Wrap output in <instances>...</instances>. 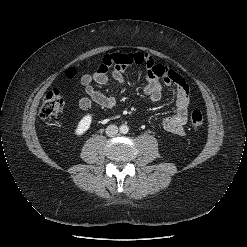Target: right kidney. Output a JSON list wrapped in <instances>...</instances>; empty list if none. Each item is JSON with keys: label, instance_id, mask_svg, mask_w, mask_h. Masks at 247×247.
Returning a JSON list of instances; mask_svg holds the SVG:
<instances>
[{"label": "right kidney", "instance_id": "1", "mask_svg": "<svg viewBox=\"0 0 247 247\" xmlns=\"http://www.w3.org/2000/svg\"><path fill=\"white\" fill-rule=\"evenodd\" d=\"M92 122V115L87 114L85 115L78 123L76 129H75V134L77 136L83 135L89 128Z\"/></svg>", "mask_w": 247, "mask_h": 247}]
</instances>
